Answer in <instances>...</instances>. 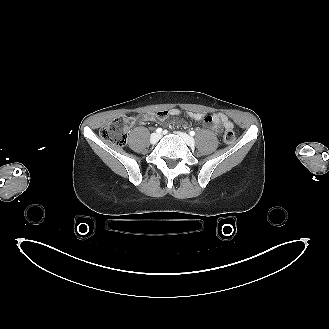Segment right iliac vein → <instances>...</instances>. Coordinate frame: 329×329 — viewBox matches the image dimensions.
<instances>
[{"label": "right iliac vein", "mask_w": 329, "mask_h": 329, "mask_svg": "<svg viewBox=\"0 0 329 329\" xmlns=\"http://www.w3.org/2000/svg\"><path fill=\"white\" fill-rule=\"evenodd\" d=\"M160 134L157 133H153L150 137V143L151 144H156L158 142V140L160 139Z\"/></svg>", "instance_id": "obj_1"}]
</instances>
